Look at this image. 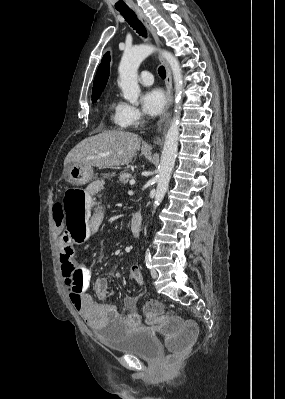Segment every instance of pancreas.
I'll list each match as a JSON object with an SVG mask.
<instances>
[{
  "label": "pancreas",
  "instance_id": "cf45deb5",
  "mask_svg": "<svg viewBox=\"0 0 285 399\" xmlns=\"http://www.w3.org/2000/svg\"><path fill=\"white\" fill-rule=\"evenodd\" d=\"M131 177L130 173L127 172H123L121 173L120 177H119V181L123 184H126L128 182V179Z\"/></svg>",
  "mask_w": 285,
  "mask_h": 399
}]
</instances>
